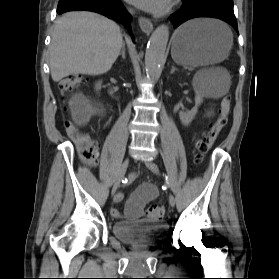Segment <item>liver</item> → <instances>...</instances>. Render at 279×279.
<instances>
[{
	"instance_id": "6515ba94",
	"label": "liver",
	"mask_w": 279,
	"mask_h": 279,
	"mask_svg": "<svg viewBox=\"0 0 279 279\" xmlns=\"http://www.w3.org/2000/svg\"><path fill=\"white\" fill-rule=\"evenodd\" d=\"M123 45L119 26L92 12H69L57 19L49 48L51 77L100 75L109 71Z\"/></svg>"
}]
</instances>
